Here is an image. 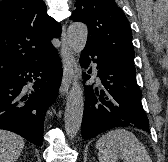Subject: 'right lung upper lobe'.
Masks as SVG:
<instances>
[{
    "mask_svg": "<svg viewBox=\"0 0 168 162\" xmlns=\"http://www.w3.org/2000/svg\"><path fill=\"white\" fill-rule=\"evenodd\" d=\"M60 34L42 0L0 1V77L45 59L55 50L51 39Z\"/></svg>",
    "mask_w": 168,
    "mask_h": 162,
    "instance_id": "cb5924a9",
    "label": "right lung upper lobe"
}]
</instances>
